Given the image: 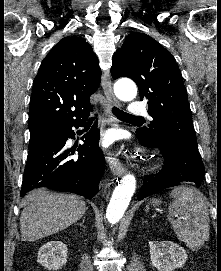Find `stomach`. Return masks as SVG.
<instances>
[{
    "instance_id": "0dacf381",
    "label": "stomach",
    "mask_w": 221,
    "mask_h": 271,
    "mask_svg": "<svg viewBox=\"0 0 221 271\" xmlns=\"http://www.w3.org/2000/svg\"><path fill=\"white\" fill-rule=\"evenodd\" d=\"M150 203L156 207V205H161L162 201L161 199H151Z\"/></svg>"
}]
</instances>
